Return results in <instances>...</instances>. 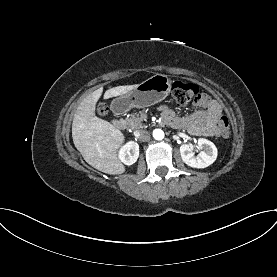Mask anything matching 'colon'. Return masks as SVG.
<instances>
[{
  "label": "colon",
  "mask_w": 277,
  "mask_h": 277,
  "mask_svg": "<svg viewBox=\"0 0 277 277\" xmlns=\"http://www.w3.org/2000/svg\"><path fill=\"white\" fill-rule=\"evenodd\" d=\"M172 96L174 100L180 105H186L190 102H198L202 98V93L199 87L186 81H176L172 85ZM97 111L99 114H105L107 107L104 104L98 105ZM221 135L223 137L229 136L228 119L225 116L220 118Z\"/></svg>",
  "instance_id": "5ec220e1"
}]
</instances>
